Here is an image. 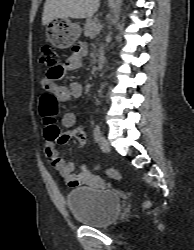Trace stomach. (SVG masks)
<instances>
[{
	"mask_svg": "<svg viewBox=\"0 0 194 250\" xmlns=\"http://www.w3.org/2000/svg\"><path fill=\"white\" fill-rule=\"evenodd\" d=\"M49 41L57 48L66 49L71 47L80 37L79 24L73 23L69 18L55 19L47 24Z\"/></svg>",
	"mask_w": 194,
	"mask_h": 250,
	"instance_id": "stomach-1",
	"label": "stomach"
}]
</instances>
